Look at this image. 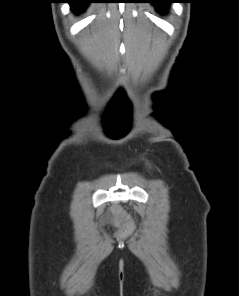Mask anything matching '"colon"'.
Segmentation results:
<instances>
[{"mask_svg":"<svg viewBox=\"0 0 239 296\" xmlns=\"http://www.w3.org/2000/svg\"><path fill=\"white\" fill-rule=\"evenodd\" d=\"M113 222L115 225L126 228V229H133L134 223L130 217V215L122 209L120 206H113L111 209Z\"/></svg>","mask_w":239,"mask_h":296,"instance_id":"1","label":"colon"}]
</instances>
